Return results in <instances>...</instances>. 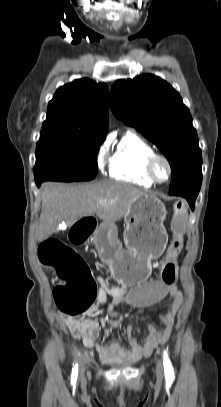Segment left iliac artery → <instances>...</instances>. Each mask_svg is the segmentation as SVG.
Listing matches in <instances>:
<instances>
[{"label": "left iliac artery", "instance_id": "obj_1", "mask_svg": "<svg viewBox=\"0 0 221 407\" xmlns=\"http://www.w3.org/2000/svg\"><path fill=\"white\" fill-rule=\"evenodd\" d=\"M163 355H164V371H165V375H166L167 378H173L174 377V371H173V367H172V364L170 362L167 350H164Z\"/></svg>", "mask_w": 221, "mask_h": 407}]
</instances>
